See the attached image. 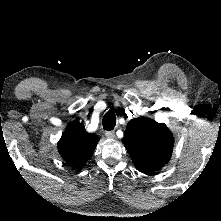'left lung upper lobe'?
Masks as SVG:
<instances>
[{
    "label": "left lung upper lobe",
    "instance_id": "left-lung-upper-lobe-1",
    "mask_svg": "<svg viewBox=\"0 0 221 221\" xmlns=\"http://www.w3.org/2000/svg\"><path fill=\"white\" fill-rule=\"evenodd\" d=\"M122 142L137 170L151 174L170 160L174 138L165 124L140 117L128 122Z\"/></svg>",
    "mask_w": 221,
    "mask_h": 221
}]
</instances>
